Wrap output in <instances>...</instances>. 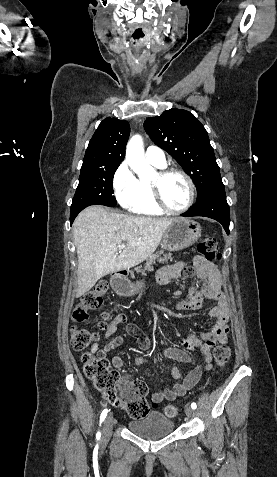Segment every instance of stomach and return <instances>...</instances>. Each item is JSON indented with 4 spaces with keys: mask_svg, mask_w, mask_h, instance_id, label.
Instances as JSON below:
<instances>
[{
    "mask_svg": "<svg viewBox=\"0 0 277 477\" xmlns=\"http://www.w3.org/2000/svg\"><path fill=\"white\" fill-rule=\"evenodd\" d=\"M201 225L186 218H176L166 229L163 235L162 246L165 250L178 251L185 249L198 241L201 236ZM143 282L132 283L124 277H114L112 288L124 296L137 294L143 287Z\"/></svg>",
    "mask_w": 277,
    "mask_h": 477,
    "instance_id": "1",
    "label": "stomach"
}]
</instances>
